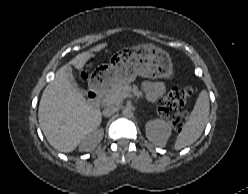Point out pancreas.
I'll use <instances>...</instances> for the list:
<instances>
[{"label":"pancreas","mask_w":248,"mask_h":194,"mask_svg":"<svg viewBox=\"0 0 248 194\" xmlns=\"http://www.w3.org/2000/svg\"><path fill=\"white\" fill-rule=\"evenodd\" d=\"M131 91L138 97L141 96V92L138 90L137 86L131 87L128 84H118L105 93L102 101L105 105H119L122 103L124 95L129 94Z\"/></svg>","instance_id":"cf45deb5"}]
</instances>
